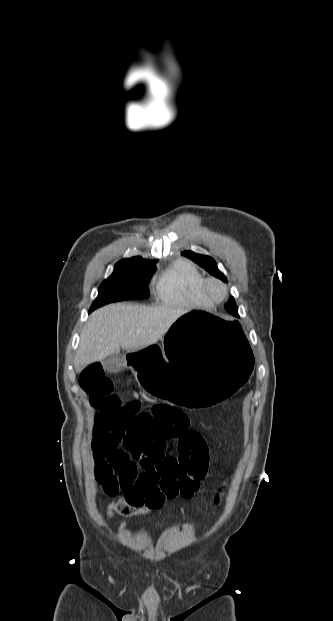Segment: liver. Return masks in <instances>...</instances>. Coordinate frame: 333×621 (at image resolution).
I'll use <instances>...</instances> for the list:
<instances>
[{
    "instance_id": "liver-1",
    "label": "liver",
    "mask_w": 333,
    "mask_h": 621,
    "mask_svg": "<svg viewBox=\"0 0 333 621\" xmlns=\"http://www.w3.org/2000/svg\"><path fill=\"white\" fill-rule=\"evenodd\" d=\"M185 312L127 303L104 306L85 324L74 364L83 367L119 353L120 348L135 352L155 344Z\"/></svg>"
}]
</instances>
